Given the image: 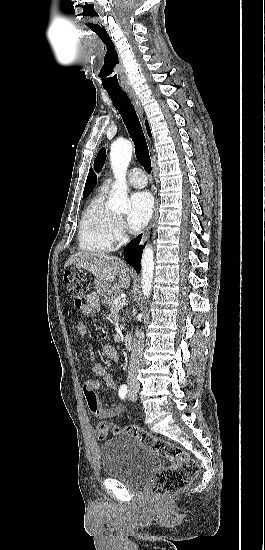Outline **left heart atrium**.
I'll list each match as a JSON object with an SVG mask.
<instances>
[{
	"mask_svg": "<svg viewBox=\"0 0 265 550\" xmlns=\"http://www.w3.org/2000/svg\"><path fill=\"white\" fill-rule=\"evenodd\" d=\"M153 213V200L148 192L134 193L130 198L127 224L133 230L143 228Z\"/></svg>",
	"mask_w": 265,
	"mask_h": 550,
	"instance_id": "left-heart-atrium-1",
	"label": "left heart atrium"
}]
</instances>
